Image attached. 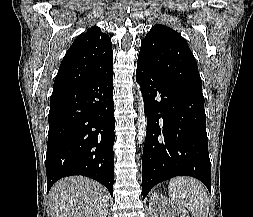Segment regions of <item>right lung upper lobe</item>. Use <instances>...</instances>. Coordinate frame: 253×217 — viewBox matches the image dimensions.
I'll return each mask as SVG.
<instances>
[{"mask_svg":"<svg viewBox=\"0 0 253 217\" xmlns=\"http://www.w3.org/2000/svg\"><path fill=\"white\" fill-rule=\"evenodd\" d=\"M111 68V39L99 27H91L80 34L66 52L54 81L53 92L84 84Z\"/></svg>","mask_w":253,"mask_h":217,"instance_id":"obj_1","label":"right lung upper lobe"}]
</instances>
